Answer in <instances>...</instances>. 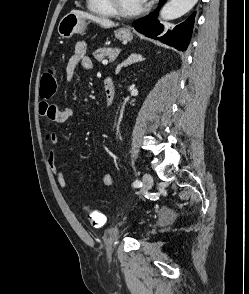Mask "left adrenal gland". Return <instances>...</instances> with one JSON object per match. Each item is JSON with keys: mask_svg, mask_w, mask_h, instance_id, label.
Listing matches in <instances>:
<instances>
[{"mask_svg": "<svg viewBox=\"0 0 249 294\" xmlns=\"http://www.w3.org/2000/svg\"><path fill=\"white\" fill-rule=\"evenodd\" d=\"M145 58L142 57L140 54L132 53L128 56V58L119 64L116 68V73L118 74L122 67H127L128 65L143 61Z\"/></svg>", "mask_w": 249, "mask_h": 294, "instance_id": "1", "label": "left adrenal gland"}]
</instances>
